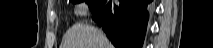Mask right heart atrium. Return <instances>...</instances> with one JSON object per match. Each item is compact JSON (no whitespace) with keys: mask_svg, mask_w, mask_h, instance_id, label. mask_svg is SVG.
<instances>
[{"mask_svg":"<svg viewBox=\"0 0 213 48\" xmlns=\"http://www.w3.org/2000/svg\"><path fill=\"white\" fill-rule=\"evenodd\" d=\"M88 11V6L86 3H79L77 6H76V9H75V14L76 16L78 17H82V16H85L86 13Z\"/></svg>","mask_w":213,"mask_h":48,"instance_id":"1","label":"right heart atrium"}]
</instances>
